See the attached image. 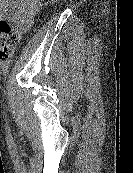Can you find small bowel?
Returning a JSON list of instances; mask_svg holds the SVG:
<instances>
[{
	"mask_svg": "<svg viewBox=\"0 0 133 173\" xmlns=\"http://www.w3.org/2000/svg\"><path fill=\"white\" fill-rule=\"evenodd\" d=\"M39 4L40 0H0V20L8 19L22 35L32 26Z\"/></svg>",
	"mask_w": 133,
	"mask_h": 173,
	"instance_id": "c3829d8e",
	"label": "small bowel"
}]
</instances>
